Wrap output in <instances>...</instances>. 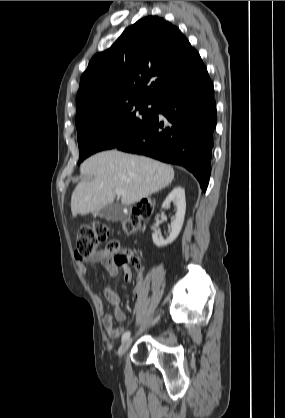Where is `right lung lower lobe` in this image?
<instances>
[{
    "instance_id": "98d812e1",
    "label": "right lung lower lobe",
    "mask_w": 285,
    "mask_h": 418,
    "mask_svg": "<svg viewBox=\"0 0 285 418\" xmlns=\"http://www.w3.org/2000/svg\"><path fill=\"white\" fill-rule=\"evenodd\" d=\"M158 113L163 114L169 124L159 121ZM215 127L214 87L206 71L161 100L155 118L116 148L181 165L195 175L205 192L211 173Z\"/></svg>"
}]
</instances>
